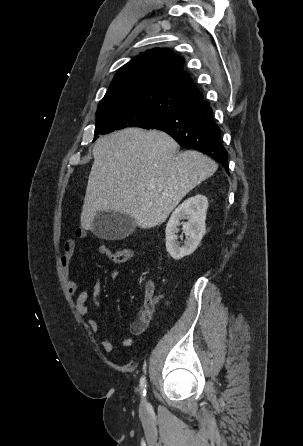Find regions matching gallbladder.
<instances>
[{
	"label": "gallbladder",
	"mask_w": 303,
	"mask_h": 446,
	"mask_svg": "<svg viewBox=\"0 0 303 446\" xmlns=\"http://www.w3.org/2000/svg\"><path fill=\"white\" fill-rule=\"evenodd\" d=\"M136 228L132 217L122 213L98 212L92 221V232L103 239H122Z\"/></svg>",
	"instance_id": "obj_1"
}]
</instances>
